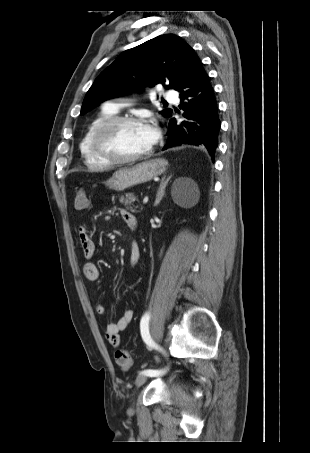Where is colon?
I'll use <instances>...</instances> for the list:
<instances>
[{
  "label": "colon",
  "mask_w": 310,
  "mask_h": 453,
  "mask_svg": "<svg viewBox=\"0 0 310 453\" xmlns=\"http://www.w3.org/2000/svg\"><path fill=\"white\" fill-rule=\"evenodd\" d=\"M89 200L86 192L82 188L75 191L74 206L77 210H84L88 207ZM115 361L122 369H129L132 365V356L127 350H117L115 352Z\"/></svg>",
  "instance_id": "1"
}]
</instances>
